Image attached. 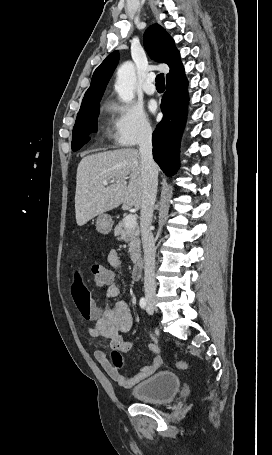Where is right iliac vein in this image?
Returning a JSON list of instances; mask_svg holds the SVG:
<instances>
[{"mask_svg":"<svg viewBox=\"0 0 272 455\" xmlns=\"http://www.w3.org/2000/svg\"><path fill=\"white\" fill-rule=\"evenodd\" d=\"M148 306L151 307L153 310H156V311H157L155 300H153V299H148Z\"/></svg>","mask_w":272,"mask_h":455,"instance_id":"63e3f726","label":"right iliac vein"}]
</instances>
